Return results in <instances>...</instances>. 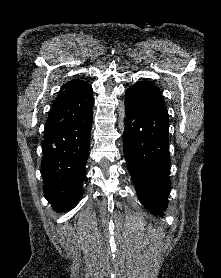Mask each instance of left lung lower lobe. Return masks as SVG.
<instances>
[{
    "label": "left lung lower lobe",
    "mask_w": 221,
    "mask_h": 278,
    "mask_svg": "<svg viewBox=\"0 0 221 278\" xmlns=\"http://www.w3.org/2000/svg\"><path fill=\"white\" fill-rule=\"evenodd\" d=\"M124 155L139 200L163 216L170 190L167 110L144 111L125 103Z\"/></svg>",
    "instance_id": "left-lung-lower-lobe-1"
}]
</instances>
